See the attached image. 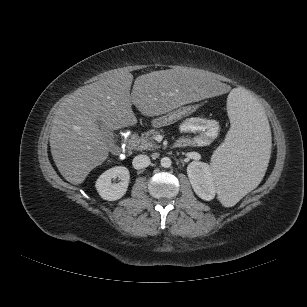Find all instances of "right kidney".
<instances>
[{"instance_id": "1", "label": "right kidney", "mask_w": 307, "mask_h": 307, "mask_svg": "<svg viewBox=\"0 0 307 307\" xmlns=\"http://www.w3.org/2000/svg\"><path fill=\"white\" fill-rule=\"evenodd\" d=\"M117 177L120 182L112 183V179ZM129 181V170L124 166H116L102 173L97 179L95 187L101 198L108 201H115L125 195Z\"/></svg>"}]
</instances>
